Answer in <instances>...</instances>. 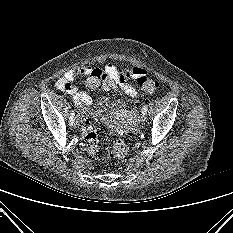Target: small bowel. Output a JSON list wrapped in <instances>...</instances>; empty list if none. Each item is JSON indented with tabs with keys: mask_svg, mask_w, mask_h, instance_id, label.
Returning <instances> with one entry per match:
<instances>
[{
	"mask_svg": "<svg viewBox=\"0 0 233 233\" xmlns=\"http://www.w3.org/2000/svg\"><path fill=\"white\" fill-rule=\"evenodd\" d=\"M92 70L93 68L90 66L74 67L57 82L59 89L73 97L75 104L80 108V116L85 115V109L92 103V99L86 92L79 91L73 81L79 76L88 77ZM101 70L107 76V81L103 83V88L106 91L121 89L131 97H135L137 91L135 86L129 84L128 81L146 74V71L140 67H116L111 63Z\"/></svg>",
	"mask_w": 233,
	"mask_h": 233,
	"instance_id": "1",
	"label": "small bowel"
}]
</instances>
